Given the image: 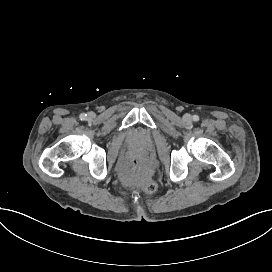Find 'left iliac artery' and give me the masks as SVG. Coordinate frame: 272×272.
<instances>
[{"label":"left iliac artery","mask_w":272,"mask_h":272,"mask_svg":"<svg viewBox=\"0 0 272 272\" xmlns=\"http://www.w3.org/2000/svg\"><path fill=\"white\" fill-rule=\"evenodd\" d=\"M193 120L194 121H198L199 120V116L198 115H193Z\"/></svg>","instance_id":"44dca946"}]
</instances>
